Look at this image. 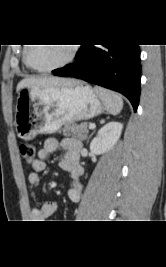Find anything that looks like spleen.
<instances>
[{
    "mask_svg": "<svg viewBox=\"0 0 166 267\" xmlns=\"http://www.w3.org/2000/svg\"><path fill=\"white\" fill-rule=\"evenodd\" d=\"M94 90L110 114L117 115L121 112L123 100L119 94L99 87H95Z\"/></svg>",
    "mask_w": 166,
    "mask_h": 267,
    "instance_id": "1",
    "label": "spleen"
}]
</instances>
